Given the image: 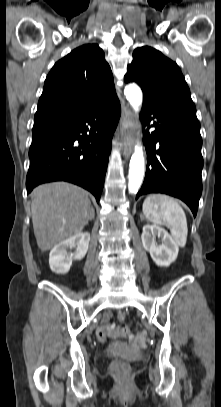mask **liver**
Returning <instances> with one entry per match:
<instances>
[{
    "label": "liver",
    "instance_id": "1",
    "mask_svg": "<svg viewBox=\"0 0 221 407\" xmlns=\"http://www.w3.org/2000/svg\"><path fill=\"white\" fill-rule=\"evenodd\" d=\"M31 196L34 235L42 252L81 233L92 219L88 194L78 186L66 182L42 184Z\"/></svg>",
    "mask_w": 221,
    "mask_h": 407
}]
</instances>
